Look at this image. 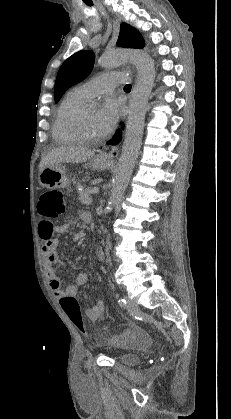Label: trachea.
Here are the masks:
<instances>
[{"mask_svg": "<svg viewBox=\"0 0 231 419\" xmlns=\"http://www.w3.org/2000/svg\"><path fill=\"white\" fill-rule=\"evenodd\" d=\"M124 89L125 90H131V85L130 84L125 85Z\"/></svg>", "mask_w": 231, "mask_h": 419, "instance_id": "1", "label": "trachea"}]
</instances>
